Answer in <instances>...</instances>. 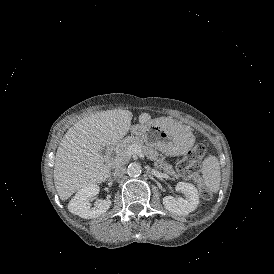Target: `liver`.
Instances as JSON below:
<instances>
[{
  "mask_svg": "<svg viewBox=\"0 0 274 274\" xmlns=\"http://www.w3.org/2000/svg\"><path fill=\"white\" fill-rule=\"evenodd\" d=\"M132 117L129 110L101 111L84 117L68 129L54 164V183L61 200H67L88 184L102 183L110 177V166L104 164L101 150L127 134ZM150 119L148 113L139 116L141 124Z\"/></svg>",
  "mask_w": 274,
  "mask_h": 274,
  "instance_id": "1",
  "label": "liver"
}]
</instances>
